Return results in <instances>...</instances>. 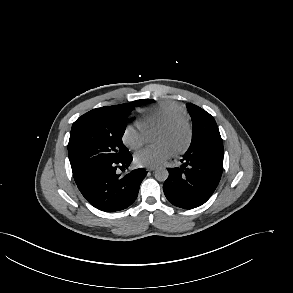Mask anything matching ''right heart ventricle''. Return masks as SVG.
<instances>
[{
	"label": "right heart ventricle",
	"instance_id": "1",
	"mask_svg": "<svg viewBox=\"0 0 293 293\" xmlns=\"http://www.w3.org/2000/svg\"><path fill=\"white\" fill-rule=\"evenodd\" d=\"M180 118H186L185 109L178 103L164 101L146 107L142 111L138 125L146 131Z\"/></svg>",
	"mask_w": 293,
	"mask_h": 293
}]
</instances>
